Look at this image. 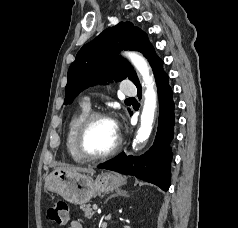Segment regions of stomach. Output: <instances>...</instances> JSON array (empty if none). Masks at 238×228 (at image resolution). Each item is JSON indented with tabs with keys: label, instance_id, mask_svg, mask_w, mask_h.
Wrapping results in <instances>:
<instances>
[{
	"label": "stomach",
	"instance_id": "stomach-1",
	"mask_svg": "<svg viewBox=\"0 0 238 228\" xmlns=\"http://www.w3.org/2000/svg\"><path fill=\"white\" fill-rule=\"evenodd\" d=\"M123 184V178L112 172H102L96 179H92L80 172L55 169L47 176L44 186L46 190L59 194L72 204L83 205L92 197L111 192Z\"/></svg>",
	"mask_w": 238,
	"mask_h": 228
}]
</instances>
